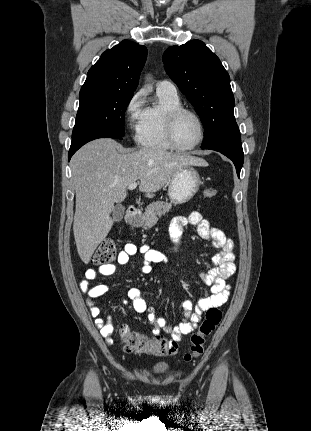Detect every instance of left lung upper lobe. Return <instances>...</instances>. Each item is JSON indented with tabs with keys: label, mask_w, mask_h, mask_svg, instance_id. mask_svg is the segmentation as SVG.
<instances>
[{
	"label": "left lung upper lobe",
	"mask_w": 311,
	"mask_h": 431,
	"mask_svg": "<svg viewBox=\"0 0 311 431\" xmlns=\"http://www.w3.org/2000/svg\"><path fill=\"white\" fill-rule=\"evenodd\" d=\"M163 62L167 74L195 107L204 125L201 148L241 140L229 74L205 43L192 40L169 47Z\"/></svg>",
	"instance_id": "left-lung-upper-lobe-1"
}]
</instances>
